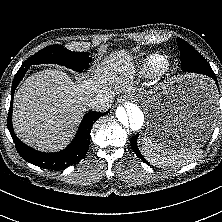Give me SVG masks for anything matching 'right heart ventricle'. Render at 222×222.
I'll return each mask as SVG.
<instances>
[{"mask_svg":"<svg viewBox=\"0 0 222 222\" xmlns=\"http://www.w3.org/2000/svg\"><path fill=\"white\" fill-rule=\"evenodd\" d=\"M165 60V57L161 54L155 53L148 56L145 60L144 69L149 72L153 73L158 70L160 64Z\"/></svg>","mask_w":222,"mask_h":222,"instance_id":"obj_1","label":"right heart ventricle"}]
</instances>
